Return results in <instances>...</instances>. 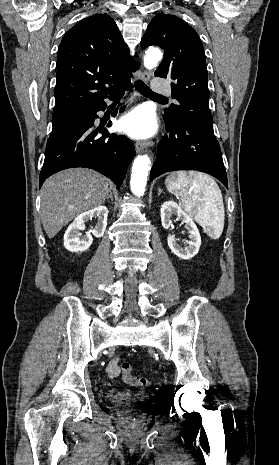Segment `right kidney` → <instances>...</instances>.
I'll use <instances>...</instances> for the list:
<instances>
[{
    "label": "right kidney",
    "instance_id": "1",
    "mask_svg": "<svg viewBox=\"0 0 279 465\" xmlns=\"http://www.w3.org/2000/svg\"><path fill=\"white\" fill-rule=\"evenodd\" d=\"M93 217L98 218L95 228L82 235L80 231L85 229V222ZM107 217L108 209L106 206H98L78 215L64 234V247L71 252H83L87 250L93 242L92 235L97 238L104 235L107 226Z\"/></svg>",
    "mask_w": 279,
    "mask_h": 465
}]
</instances>
